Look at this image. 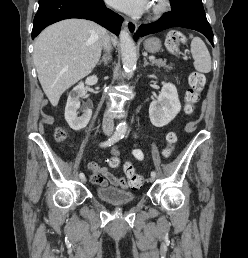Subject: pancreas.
Instances as JSON below:
<instances>
[{
	"mask_svg": "<svg viewBox=\"0 0 248 258\" xmlns=\"http://www.w3.org/2000/svg\"><path fill=\"white\" fill-rule=\"evenodd\" d=\"M151 64L152 65H157V66H159V67H165L166 69H169V70H171L172 69V66L170 65H166V63H165V61H163L162 59H158V60H153L152 62H151Z\"/></svg>",
	"mask_w": 248,
	"mask_h": 258,
	"instance_id": "cf45deb5",
	"label": "pancreas"
}]
</instances>
